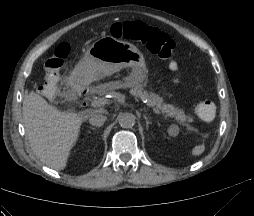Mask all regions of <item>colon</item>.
<instances>
[{
  "mask_svg": "<svg viewBox=\"0 0 254 216\" xmlns=\"http://www.w3.org/2000/svg\"><path fill=\"white\" fill-rule=\"evenodd\" d=\"M115 38H126L138 42L146 49L161 58L170 59L175 43L161 30L149 27L140 22L115 23L111 28ZM70 53L68 43H60L45 63V78L40 91L46 95H54L60 77V69ZM195 114L203 121H211L216 114V106L212 101L205 100L195 106Z\"/></svg>",
  "mask_w": 254,
  "mask_h": 216,
  "instance_id": "obj_1",
  "label": "colon"
}]
</instances>
